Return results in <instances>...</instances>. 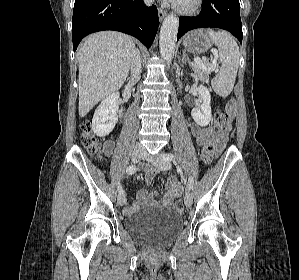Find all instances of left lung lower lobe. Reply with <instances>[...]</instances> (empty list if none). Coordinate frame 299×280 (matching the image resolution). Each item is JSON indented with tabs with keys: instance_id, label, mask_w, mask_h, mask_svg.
<instances>
[{
	"instance_id": "0a47b994",
	"label": "left lung lower lobe",
	"mask_w": 299,
	"mask_h": 280,
	"mask_svg": "<svg viewBox=\"0 0 299 280\" xmlns=\"http://www.w3.org/2000/svg\"><path fill=\"white\" fill-rule=\"evenodd\" d=\"M201 27L225 29L242 42L239 0H203L199 15L180 18L177 40L189 30Z\"/></svg>"
}]
</instances>
